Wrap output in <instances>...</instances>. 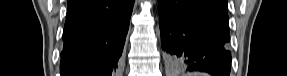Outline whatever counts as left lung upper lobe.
<instances>
[{
  "instance_id": "left-lung-upper-lobe-1",
  "label": "left lung upper lobe",
  "mask_w": 287,
  "mask_h": 76,
  "mask_svg": "<svg viewBox=\"0 0 287 76\" xmlns=\"http://www.w3.org/2000/svg\"><path fill=\"white\" fill-rule=\"evenodd\" d=\"M211 2L218 3L222 5L224 8H227V0H210Z\"/></svg>"
}]
</instances>
